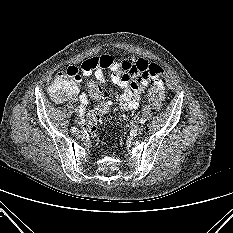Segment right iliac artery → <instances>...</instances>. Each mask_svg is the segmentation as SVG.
I'll return each mask as SVG.
<instances>
[{
    "label": "right iliac artery",
    "instance_id": "82829eb1",
    "mask_svg": "<svg viewBox=\"0 0 233 233\" xmlns=\"http://www.w3.org/2000/svg\"><path fill=\"white\" fill-rule=\"evenodd\" d=\"M76 131H77V128H76V127H72V128H71V132H72V133H75Z\"/></svg>",
    "mask_w": 233,
    "mask_h": 233
}]
</instances>
